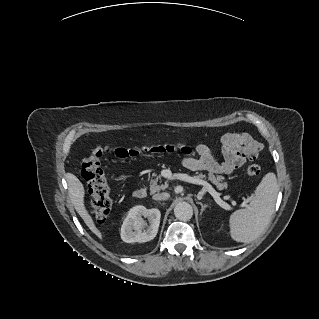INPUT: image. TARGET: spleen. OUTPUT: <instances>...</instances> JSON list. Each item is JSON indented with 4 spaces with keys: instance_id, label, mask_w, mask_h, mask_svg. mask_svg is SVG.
Returning <instances> with one entry per match:
<instances>
[{
    "instance_id": "1",
    "label": "spleen",
    "mask_w": 319,
    "mask_h": 319,
    "mask_svg": "<svg viewBox=\"0 0 319 319\" xmlns=\"http://www.w3.org/2000/svg\"><path fill=\"white\" fill-rule=\"evenodd\" d=\"M279 191L276 175L267 173L256 187L248 207L230 215V235L237 242L249 243L267 228Z\"/></svg>"
}]
</instances>
